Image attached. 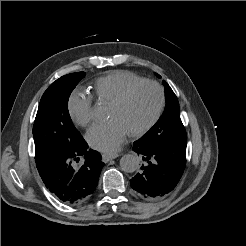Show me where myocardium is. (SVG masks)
I'll return each mask as SVG.
<instances>
[{"label":"myocardium","instance_id":"f54148a6","mask_svg":"<svg viewBox=\"0 0 246 246\" xmlns=\"http://www.w3.org/2000/svg\"><path fill=\"white\" fill-rule=\"evenodd\" d=\"M143 85H152L155 86L159 92V103L157 106V109L153 115V117L149 120V122H147L144 126H142L139 129H136L134 131H131L130 134L132 136H142L145 133H147L159 120L164 106H165V92L163 87L161 86V84H159L157 81L154 80H148V79H143L141 81H138L134 84H131L130 86H128L112 103V106H121L123 105L128 98L130 97V95L139 87L143 86Z\"/></svg>","mask_w":246,"mask_h":246}]
</instances>
